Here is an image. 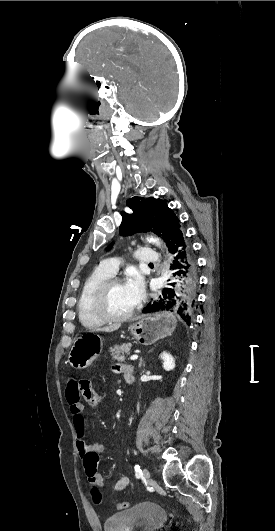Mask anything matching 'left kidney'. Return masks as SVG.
Listing matches in <instances>:
<instances>
[{"label": "left kidney", "mask_w": 275, "mask_h": 531, "mask_svg": "<svg viewBox=\"0 0 275 531\" xmlns=\"http://www.w3.org/2000/svg\"><path fill=\"white\" fill-rule=\"evenodd\" d=\"M160 359L163 361V369H165V371H172V369H175V359L170 353L164 351V353H161Z\"/></svg>", "instance_id": "obj_1"}]
</instances>
